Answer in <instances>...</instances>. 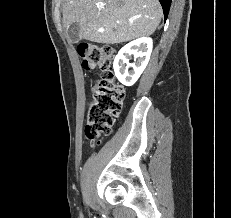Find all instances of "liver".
Returning <instances> with one entry per match:
<instances>
[{
    "instance_id": "6515ba94",
    "label": "liver",
    "mask_w": 231,
    "mask_h": 218,
    "mask_svg": "<svg viewBox=\"0 0 231 218\" xmlns=\"http://www.w3.org/2000/svg\"><path fill=\"white\" fill-rule=\"evenodd\" d=\"M162 16L158 0H65L63 5L66 30L78 23L80 38L101 44L149 36Z\"/></svg>"
}]
</instances>
